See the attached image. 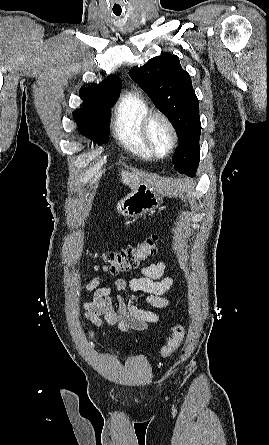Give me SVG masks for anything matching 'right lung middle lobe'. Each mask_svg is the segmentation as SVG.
<instances>
[{
    "label": "right lung middle lobe",
    "mask_w": 269,
    "mask_h": 445,
    "mask_svg": "<svg viewBox=\"0 0 269 445\" xmlns=\"http://www.w3.org/2000/svg\"><path fill=\"white\" fill-rule=\"evenodd\" d=\"M113 104L94 106L73 113L81 133L95 143H106L109 139V118Z\"/></svg>",
    "instance_id": "dd1d6c3e"
}]
</instances>
